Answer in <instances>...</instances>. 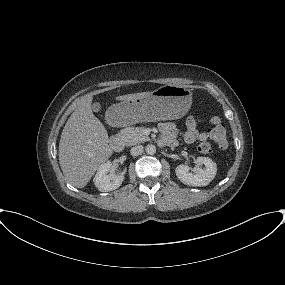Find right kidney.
<instances>
[{
	"label": "right kidney",
	"instance_id": "1",
	"mask_svg": "<svg viewBox=\"0 0 285 285\" xmlns=\"http://www.w3.org/2000/svg\"><path fill=\"white\" fill-rule=\"evenodd\" d=\"M112 163H102L94 177V183L101 192H109L119 188L124 181V175H115L112 171Z\"/></svg>",
	"mask_w": 285,
	"mask_h": 285
}]
</instances>
